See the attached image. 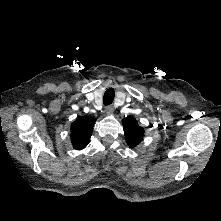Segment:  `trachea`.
<instances>
[{
  "mask_svg": "<svg viewBox=\"0 0 221 221\" xmlns=\"http://www.w3.org/2000/svg\"><path fill=\"white\" fill-rule=\"evenodd\" d=\"M115 97V92L113 88H109L105 91L103 96V103L104 105H110Z\"/></svg>",
  "mask_w": 221,
  "mask_h": 221,
  "instance_id": "obj_1",
  "label": "trachea"
}]
</instances>
